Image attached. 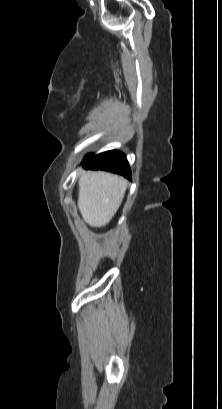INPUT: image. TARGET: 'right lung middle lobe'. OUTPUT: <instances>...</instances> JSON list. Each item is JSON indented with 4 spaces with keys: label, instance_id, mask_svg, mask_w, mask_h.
I'll list each match as a JSON object with an SVG mask.
<instances>
[{
    "label": "right lung middle lobe",
    "instance_id": "right-lung-middle-lobe-1",
    "mask_svg": "<svg viewBox=\"0 0 222 409\" xmlns=\"http://www.w3.org/2000/svg\"><path fill=\"white\" fill-rule=\"evenodd\" d=\"M92 157V155H87L86 156V160H88L89 158H91Z\"/></svg>",
    "mask_w": 222,
    "mask_h": 409
}]
</instances>
